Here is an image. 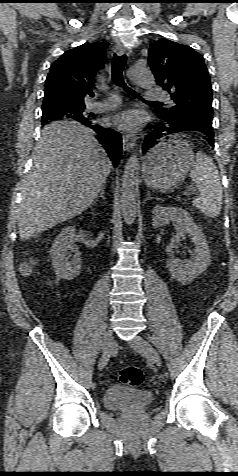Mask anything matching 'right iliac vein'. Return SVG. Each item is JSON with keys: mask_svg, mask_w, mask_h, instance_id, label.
Listing matches in <instances>:
<instances>
[{"mask_svg": "<svg viewBox=\"0 0 238 476\" xmlns=\"http://www.w3.org/2000/svg\"><path fill=\"white\" fill-rule=\"evenodd\" d=\"M114 346H115V342H114V337H113V331L109 327L105 331V334H104V337H103L102 356H101V358L99 360V364H98V367H99L100 370H102L106 366V364H107V362H108V360H109V358H110V356H111V354L114 350Z\"/></svg>", "mask_w": 238, "mask_h": 476, "instance_id": "1", "label": "right iliac vein"}]
</instances>
